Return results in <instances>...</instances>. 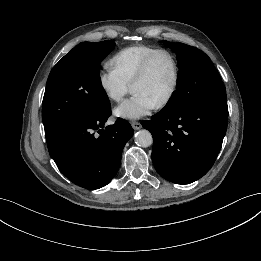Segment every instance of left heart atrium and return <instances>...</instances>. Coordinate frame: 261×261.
Segmentation results:
<instances>
[{
	"label": "left heart atrium",
	"mask_w": 261,
	"mask_h": 261,
	"mask_svg": "<svg viewBox=\"0 0 261 261\" xmlns=\"http://www.w3.org/2000/svg\"><path fill=\"white\" fill-rule=\"evenodd\" d=\"M156 104L146 95L135 92L115 109V115L126 119H139L149 114Z\"/></svg>",
	"instance_id": "left-heart-atrium-1"
}]
</instances>
